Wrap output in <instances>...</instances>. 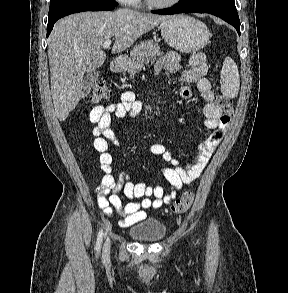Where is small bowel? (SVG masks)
<instances>
[{"instance_id": "obj_1", "label": "small bowel", "mask_w": 288, "mask_h": 293, "mask_svg": "<svg viewBox=\"0 0 288 293\" xmlns=\"http://www.w3.org/2000/svg\"><path fill=\"white\" fill-rule=\"evenodd\" d=\"M162 68H166L171 73H178L182 69L180 55L175 52L165 54L158 60L155 72L158 74ZM206 74L205 56L202 53H196L189 59V69L180 76L182 82L196 84L206 101L203 111L205 126L211 132L204 141L196 145L195 156L182 167L163 144L155 143L149 147L152 154L160 156L163 161L171 165L170 168L163 170L170 189L169 193H166L159 185L133 183L129 181V174L126 172L121 173L118 178L112 174L113 158L109 153L110 144L120 146V141L111 128L112 118L134 117L142 111L143 104L135 94L132 91H125L119 101L109 105H98L90 111V120L95 124L92 130L95 137L93 146L100 153V168L104 172V176L96 187L98 206L106 215H111L114 209L123 216V219L119 221L121 227H129L144 220L147 217V209H158L170 203L176 197L177 190L199 178L220 144L228 129L229 118L224 115L219 106ZM179 93L183 99L192 97V90L187 86L181 87ZM120 192L129 200L128 203H122L118 195Z\"/></svg>"}]
</instances>
